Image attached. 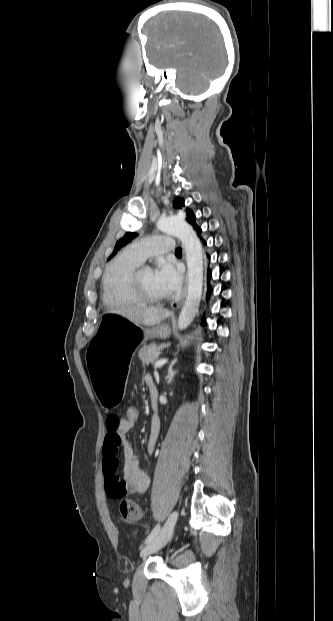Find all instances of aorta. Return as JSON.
I'll return each mask as SVG.
<instances>
[{"mask_svg":"<svg viewBox=\"0 0 333 621\" xmlns=\"http://www.w3.org/2000/svg\"><path fill=\"white\" fill-rule=\"evenodd\" d=\"M162 232L176 236L183 245L188 267V293L178 318V328H187L195 318L203 288V252L201 243L193 228L184 220L166 217L157 222Z\"/></svg>","mask_w":333,"mask_h":621,"instance_id":"1","label":"aorta"}]
</instances>
